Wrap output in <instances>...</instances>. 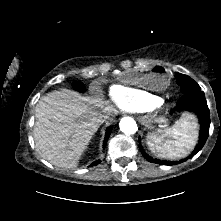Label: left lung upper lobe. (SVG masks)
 I'll return each mask as SVG.
<instances>
[{
	"instance_id": "obj_1",
	"label": "left lung upper lobe",
	"mask_w": 221,
	"mask_h": 221,
	"mask_svg": "<svg viewBox=\"0 0 221 221\" xmlns=\"http://www.w3.org/2000/svg\"><path fill=\"white\" fill-rule=\"evenodd\" d=\"M175 78L181 87V92L183 95L201 91L200 86L189 76L176 73Z\"/></svg>"
}]
</instances>
